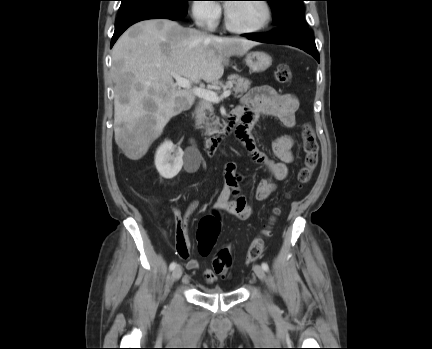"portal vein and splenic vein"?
<instances>
[{
	"label": "portal vein and splenic vein",
	"mask_w": 432,
	"mask_h": 349,
	"mask_svg": "<svg viewBox=\"0 0 432 349\" xmlns=\"http://www.w3.org/2000/svg\"><path fill=\"white\" fill-rule=\"evenodd\" d=\"M172 76L174 77V79L176 80V85L182 88H190L191 87V82L187 79L184 78L178 74L172 73ZM193 93L195 95H197L198 97H201L205 100L214 102V103H219L222 99L229 97L231 94V89H226L224 90V92L218 96L217 93H215L214 91L202 88V87H194L192 89Z\"/></svg>",
	"instance_id": "1"
}]
</instances>
